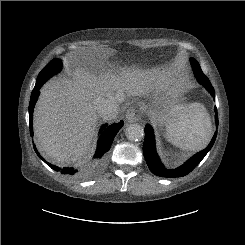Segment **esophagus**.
<instances>
[{"label": "esophagus", "mask_w": 245, "mask_h": 245, "mask_svg": "<svg viewBox=\"0 0 245 245\" xmlns=\"http://www.w3.org/2000/svg\"><path fill=\"white\" fill-rule=\"evenodd\" d=\"M140 115L137 112V109L132 106L128 109L127 113H126V121L128 123H134L137 122L139 120Z\"/></svg>", "instance_id": "esophagus-1"}]
</instances>
